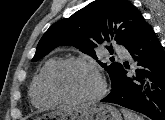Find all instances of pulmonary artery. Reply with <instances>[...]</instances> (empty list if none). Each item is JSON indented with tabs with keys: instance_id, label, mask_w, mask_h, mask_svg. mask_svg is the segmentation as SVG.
<instances>
[{
	"instance_id": "pulmonary-artery-1",
	"label": "pulmonary artery",
	"mask_w": 165,
	"mask_h": 120,
	"mask_svg": "<svg viewBox=\"0 0 165 120\" xmlns=\"http://www.w3.org/2000/svg\"><path fill=\"white\" fill-rule=\"evenodd\" d=\"M115 50L122 57H127L128 56L127 51L122 47H116Z\"/></svg>"
}]
</instances>
